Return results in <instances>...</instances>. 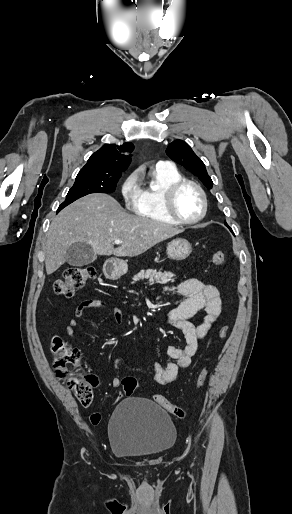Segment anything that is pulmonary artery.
<instances>
[{"label":"pulmonary artery","mask_w":292,"mask_h":514,"mask_svg":"<svg viewBox=\"0 0 292 514\" xmlns=\"http://www.w3.org/2000/svg\"><path fill=\"white\" fill-rule=\"evenodd\" d=\"M157 168L160 172H169L175 171V168H172V164L169 161H160L157 165Z\"/></svg>","instance_id":"obj_1"}]
</instances>
